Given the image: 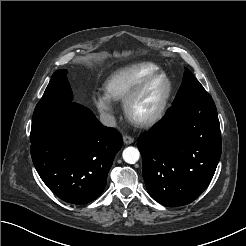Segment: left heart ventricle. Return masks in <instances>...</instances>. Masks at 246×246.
<instances>
[{
  "label": "left heart ventricle",
  "mask_w": 246,
  "mask_h": 246,
  "mask_svg": "<svg viewBox=\"0 0 246 246\" xmlns=\"http://www.w3.org/2000/svg\"><path fill=\"white\" fill-rule=\"evenodd\" d=\"M168 90L165 78H157L152 81L141 96L135 102L133 110L138 117H146L153 114L161 105Z\"/></svg>",
  "instance_id": "obj_1"
}]
</instances>
